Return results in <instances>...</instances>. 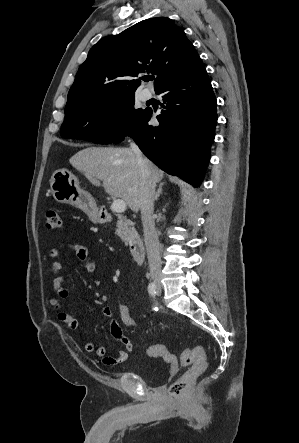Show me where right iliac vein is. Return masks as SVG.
I'll return each mask as SVG.
<instances>
[{
    "instance_id": "obj_1",
    "label": "right iliac vein",
    "mask_w": 299,
    "mask_h": 443,
    "mask_svg": "<svg viewBox=\"0 0 299 443\" xmlns=\"http://www.w3.org/2000/svg\"><path fill=\"white\" fill-rule=\"evenodd\" d=\"M153 281L155 284H157L158 286H160V278L158 276H153L152 277Z\"/></svg>"
}]
</instances>
